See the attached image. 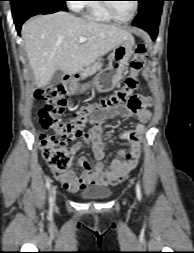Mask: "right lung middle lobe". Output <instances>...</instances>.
<instances>
[{
  "instance_id": "obj_1",
  "label": "right lung middle lobe",
  "mask_w": 194,
  "mask_h": 253,
  "mask_svg": "<svg viewBox=\"0 0 194 253\" xmlns=\"http://www.w3.org/2000/svg\"><path fill=\"white\" fill-rule=\"evenodd\" d=\"M10 1H11V6H12V7H15V5H16L18 2L24 1V0H10ZM59 1L64 2V1H66V0H59Z\"/></svg>"
}]
</instances>
